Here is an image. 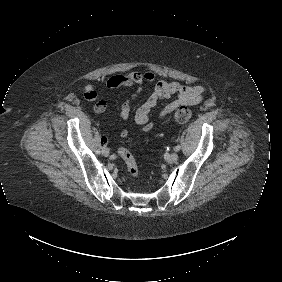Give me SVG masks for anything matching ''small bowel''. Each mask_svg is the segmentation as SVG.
<instances>
[{"instance_id":"small-bowel-1","label":"small bowel","mask_w":282,"mask_h":282,"mask_svg":"<svg viewBox=\"0 0 282 282\" xmlns=\"http://www.w3.org/2000/svg\"><path fill=\"white\" fill-rule=\"evenodd\" d=\"M155 82L154 88L146 101L136 110L134 114L135 122L142 126L144 131H149L154 126L155 122H162L169 116V111L172 106L180 103H187L190 106L200 103L204 99L206 89L203 86H185L178 82L167 80H157V75L153 71L145 72H130L126 75H114L106 83V89L112 90L119 87H136V91L131 98L122 102L119 110V115L122 119H128L132 113V103L142 93L143 85L146 83ZM83 96L87 100H95L98 97V88L92 85L81 88ZM175 96V100L163 107L155 120L150 118L152 110L160 100ZM107 108L105 100H99L93 110L96 114L103 113ZM128 130L122 128L120 137L126 138ZM103 144H106L107 138L103 137Z\"/></svg>"}]
</instances>
